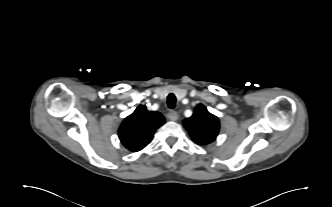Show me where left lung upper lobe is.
Returning a JSON list of instances; mask_svg holds the SVG:
<instances>
[{
  "label": "left lung upper lobe",
  "instance_id": "left-lung-upper-lobe-1",
  "mask_svg": "<svg viewBox=\"0 0 332 207\" xmlns=\"http://www.w3.org/2000/svg\"><path fill=\"white\" fill-rule=\"evenodd\" d=\"M184 127L188 130L193 141L199 145H206L213 142L219 132V119L209 113L206 107L199 104L195 107L190 118L183 121Z\"/></svg>",
  "mask_w": 332,
  "mask_h": 207
}]
</instances>
